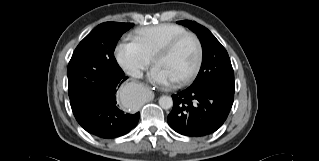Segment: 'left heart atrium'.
I'll return each mask as SVG.
<instances>
[{
    "label": "left heart atrium",
    "mask_w": 319,
    "mask_h": 161,
    "mask_svg": "<svg viewBox=\"0 0 319 161\" xmlns=\"http://www.w3.org/2000/svg\"><path fill=\"white\" fill-rule=\"evenodd\" d=\"M151 80L156 83V84H161V85H166V84H169L171 82V80L168 78V76L165 74V72L155 66L150 74H149Z\"/></svg>",
    "instance_id": "obj_1"
}]
</instances>
